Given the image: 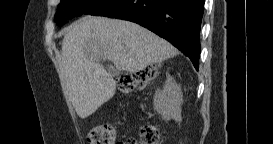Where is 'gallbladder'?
<instances>
[{
    "instance_id": "obj_1",
    "label": "gallbladder",
    "mask_w": 273,
    "mask_h": 144,
    "mask_svg": "<svg viewBox=\"0 0 273 144\" xmlns=\"http://www.w3.org/2000/svg\"><path fill=\"white\" fill-rule=\"evenodd\" d=\"M109 76H121V71L117 68V65H109L107 69Z\"/></svg>"
}]
</instances>
